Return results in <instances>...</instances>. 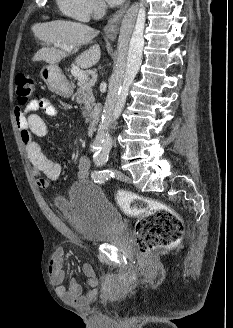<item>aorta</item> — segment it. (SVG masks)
Returning <instances> with one entry per match:
<instances>
[{
  "label": "aorta",
  "instance_id": "1",
  "mask_svg": "<svg viewBox=\"0 0 233 328\" xmlns=\"http://www.w3.org/2000/svg\"><path fill=\"white\" fill-rule=\"evenodd\" d=\"M145 19V9L138 4L131 5L122 19L117 62L109 80L108 94L94 140L95 146L99 149L111 148L112 138L108 133L109 127L120 117L129 86L140 68Z\"/></svg>",
  "mask_w": 233,
  "mask_h": 328
}]
</instances>
